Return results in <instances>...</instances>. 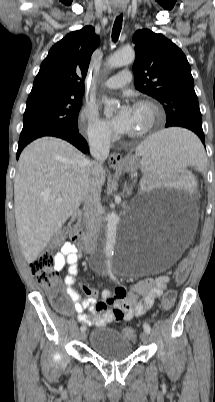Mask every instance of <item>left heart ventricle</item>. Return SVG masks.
<instances>
[{
    "label": "left heart ventricle",
    "mask_w": 215,
    "mask_h": 402,
    "mask_svg": "<svg viewBox=\"0 0 215 402\" xmlns=\"http://www.w3.org/2000/svg\"><path fill=\"white\" fill-rule=\"evenodd\" d=\"M149 120V112L146 108H133V123L129 131L130 134L142 130Z\"/></svg>",
    "instance_id": "1"
}]
</instances>
